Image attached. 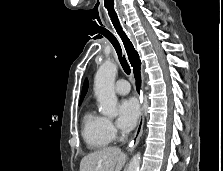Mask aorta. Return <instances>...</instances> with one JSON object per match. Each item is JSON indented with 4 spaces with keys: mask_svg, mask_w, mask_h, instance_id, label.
Instances as JSON below:
<instances>
[{
    "mask_svg": "<svg viewBox=\"0 0 223 171\" xmlns=\"http://www.w3.org/2000/svg\"><path fill=\"white\" fill-rule=\"evenodd\" d=\"M117 74V65L112 61H105L98 69L94 79V92L99 102V110L109 117L117 116V97L114 91V82ZM141 154L133 156L127 171H140Z\"/></svg>",
    "mask_w": 223,
    "mask_h": 171,
    "instance_id": "1",
    "label": "aorta"
}]
</instances>
